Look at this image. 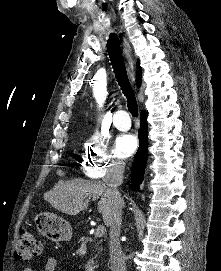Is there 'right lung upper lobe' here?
<instances>
[{
  "label": "right lung upper lobe",
  "mask_w": 221,
  "mask_h": 271,
  "mask_svg": "<svg viewBox=\"0 0 221 271\" xmlns=\"http://www.w3.org/2000/svg\"><path fill=\"white\" fill-rule=\"evenodd\" d=\"M136 68H137V70H136V74H137L136 83H137V86L139 87L141 84V76H142V70H141V67L139 64V60L137 61Z\"/></svg>",
  "instance_id": "right-lung-upper-lobe-1"
}]
</instances>
